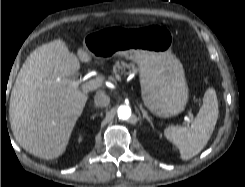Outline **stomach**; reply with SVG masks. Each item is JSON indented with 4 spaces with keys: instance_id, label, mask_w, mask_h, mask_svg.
I'll list each match as a JSON object with an SVG mask.
<instances>
[{
    "instance_id": "stomach-1",
    "label": "stomach",
    "mask_w": 245,
    "mask_h": 187,
    "mask_svg": "<svg viewBox=\"0 0 245 187\" xmlns=\"http://www.w3.org/2000/svg\"><path fill=\"white\" fill-rule=\"evenodd\" d=\"M83 43L97 59L123 56L138 64L142 99L154 115L168 118L185 109L188 86L183 66L171 52L168 29L113 26L86 35Z\"/></svg>"
}]
</instances>
